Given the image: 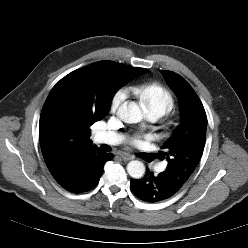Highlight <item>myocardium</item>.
Segmentation results:
<instances>
[{"instance_id":"f54148a6","label":"myocardium","mask_w":248,"mask_h":248,"mask_svg":"<svg viewBox=\"0 0 248 248\" xmlns=\"http://www.w3.org/2000/svg\"><path fill=\"white\" fill-rule=\"evenodd\" d=\"M173 124H174V122H173V121H169V122L167 123V128L172 127V126H173Z\"/></svg>"}]
</instances>
